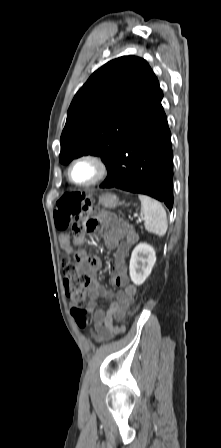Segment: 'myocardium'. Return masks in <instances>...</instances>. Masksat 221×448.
Returning <instances> with one entry per match:
<instances>
[{
    "label": "myocardium",
    "mask_w": 221,
    "mask_h": 448,
    "mask_svg": "<svg viewBox=\"0 0 221 448\" xmlns=\"http://www.w3.org/2000/svg\"><path fill=\"white\" fill-rule=\"evenodd\" d=\"M82 161H87V162L94 164L95 167L97 168V175L94 179H92L88 182L78 183L72 179L71 171H72L73 166L76 163L82 162ZM109 174H110V167H109L108 163L106 162V160L104 158H102L101 156L96 155V154H83L81 156L76 157L75 159H73L71 161V163L69 164V167L67 169V178H68L69 182L78 187H91V186L98 185L101 182H103L104 180H106L107 177L109 176Z\"/></svg>",
    "instance_id": "myocardium-1"
}]
</instances>
